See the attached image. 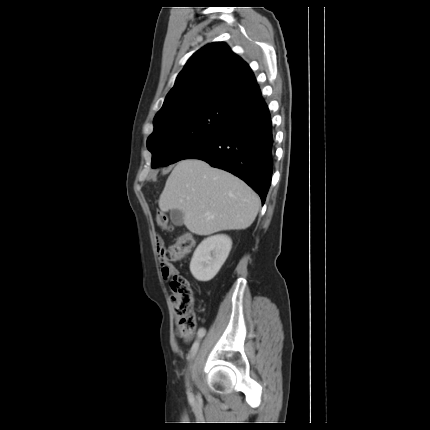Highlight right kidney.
I'll use <instances>...</instances> for the list:
<instances>
[{
	"instance_id": "1",
	"label": "right kidney",
	"mask_w": 430,
	"mask_h": 430,
	"mask_svg": "<svg viewBox=\"0 0 430 430\" xmlns=\"http://www.w3.org/2000/svg\"><path fill=\"white\" fill-rule=\"evenodd\" d=\"M232 247L231 239L226 235H216L204 239L196 248L190 271L200 282L210 281L219 272Z\"/></svg>"
}]
</instances>
